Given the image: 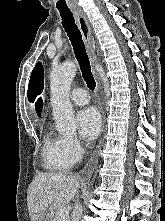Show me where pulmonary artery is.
Here are the masks:
<instances>
[{
	"instance_id": "pulmonary-artery-1",
	"label": "pulmonary artery",
	"mask_w": 165,
	"mask_h": 221,
	"mask_svg": "<svg viewBox=\"0 0 165 221\" xmlns=\"http://www.w3.org/2000/svg\"><path fill=\"white\" fill-rule=\"evenodd\" d=\"M70 99L72 103L79 106H83L89 102V95L85 89L75 88L71 92Z\"/></svg>"
}]
</instances>
